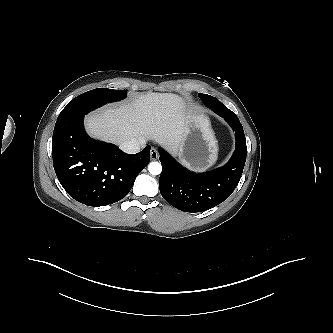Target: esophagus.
I'll list each match as a JSON object with an SVG mask.
<instances>
[{"label":"esophagus","mask_w":333,"mask_h":333,"mask_svg":"<svg viewBox=\"0 0 333 333\" xmlns=\"http://www.w3.org/2000/svg\"><path fill=\"white\" fill-rule=\"evenodd\" d=\"M150 158H151V160H157L159 158V153L155 148H151Z\"/></svg>","instance_id":"esophagus-1"}]
</instances>
